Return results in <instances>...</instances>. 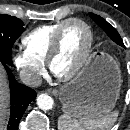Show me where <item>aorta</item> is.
Listing matches in <instances>:
<instances>
[{"label": "aorta", "mask_w": 130, "mask_h": 130, "mask_svg": "<svg viewBox=\"0 0 130 130\" xmlns=\"http://www.w3.org/2000/svg\"><path fill=\"white\" fill-rule=\"evenodd\" d=\"M53 104H54L53 99L47 94H40L37 97V105L42 110L46 111L52 109Z\"/></svg>", "instance_id": "obj_1"}]
</instances>
